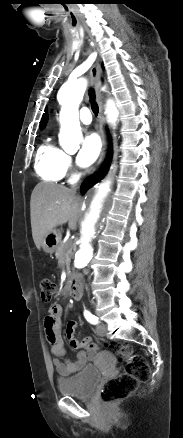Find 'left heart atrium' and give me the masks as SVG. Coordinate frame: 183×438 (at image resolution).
I'll use <instances>...</instances> for the list:
<instances>
[{
	"mask_svg": "<svg viewBox=\"0 0 183 438\" xmlns=\"http://www.w3.org/2000/svg\"><path fill=\"white\" fill-rule=\"evenodd\" d=\"M101 151V141L97 134H88L82 144L78 155V163L82 167L91 165L99 156Z\"/></svg>",
	"mask_w": 183,
	"mask_h": 438,
	"instance_id": "1",
	"label": "left heart atrium"
}]
</instances>
